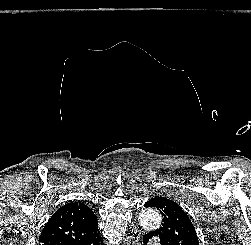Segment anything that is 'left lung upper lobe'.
I'll use <instances>...</instances> for the list:
<instances>
[{
    "mask_svg": "<svg viewBox=\"0 0 251 245\" xmlns=\"http://www.w3.org/2000/svg\"><path fill=\"white\" fill-rule=\"evenodd\" d=\"M144 207L160 210L163 216L162 226L152 233L169 245H199L195 228L188 215L174 201L158 196L150 199Z\"/></svg>",
    "mask_w": 251,
    "mask_h": 245,
    "instance_id": "5c2ea615",
    "label": "left lung upper lobe"
}]
</instances>
